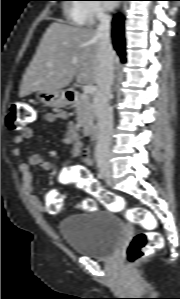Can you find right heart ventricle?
<instances>
[{
  "label": "right heart ventricle",
  "instance_id": "1",
  "mask_svg": "<svg viewBox=\"0 0 180 299\" xmlns=\"http://www.w3.org/2000/svg\"><path fill=\"white\" fill-rule=\"evenodd\" d=\"M85 7L86 5L83 4H71L67 7V16L72 24L83 26L90 22L85 12Z\"/></svg>",
  "mask_w": 180,
  "mask_h": 299
}]
</instances>
